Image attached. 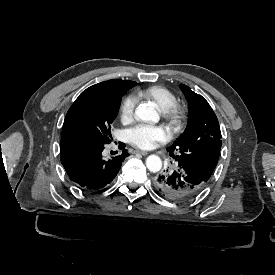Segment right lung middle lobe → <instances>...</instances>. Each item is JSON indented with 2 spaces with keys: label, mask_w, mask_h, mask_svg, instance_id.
Segmentation results:
<instances>
[{
  "label": "right lung middle lobe",
  "mask_w": 275,
  "mask_h": 275,
  "mask_svg": "<svg viewBox=\"0 0 275 275\" xmlns=\"http://www.w3.org/2000/svg\"><path fill=\"white\" fill-rule=\"evenodd\" d=\"M122 95L89 98L74 102L63 124L62 138L87 139L102 144L111 141V124L114 121Z\"/></svg>",
  "instance_id": "dd1d6c3e"
}]
</instances>
